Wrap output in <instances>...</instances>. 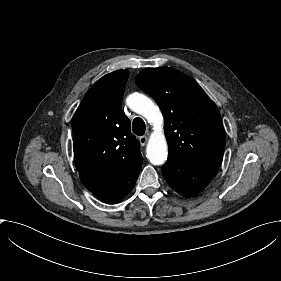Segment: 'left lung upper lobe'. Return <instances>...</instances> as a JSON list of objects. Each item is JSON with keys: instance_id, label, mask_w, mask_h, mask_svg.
Wrapping results in <instances>:
<instances>
[{"instance_id": "1", "label": "left lung upper lobe", "mask_w": 281, "mask_h": 281, "mask_svg": "<svg viewBox=\"0 0 281 281\" xmlns=\"http://www.w3.org/2000/svg\"><path fill=\"white\" fill-rule=\"evenodd\" d=\"M135 79L162 110L168 158L192 165L219 166L225 131L218 108L203 89L171 67L146 68Z\"/></svg>"}]
</instances>
